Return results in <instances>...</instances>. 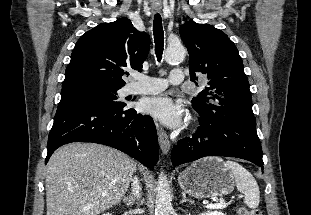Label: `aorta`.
I'll list each match as a JSON object with an SVG mask.
<instances>
[{
    "label": "aorta",
    "instance_id": "obj_1",
    "mask_svg": "<svg viewBox=\"0 0 311 215\" xmlns=\"http://www.w3.org/2000/svg\"><path fill=\"white\" fill-rule=\"evenodd\" d=\"M165 61L180 62L186 56V49L182 45L169 46L165 51ZM171 194L167 177L161 171L157 186L155 200V215H169L171 211Z\"/></svg>",
    "mask_w": 311,
    "mask_h": 215
}]
</instances>
